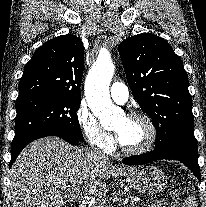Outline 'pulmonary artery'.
<instances>
[{
    "label": "pulmonary artery",
    "instance_id": "1",
    "mask_svg": "<svg viewBox=\"0 0 206 207\" xmlns=\"http://www.w3.org/2000/svg\"><path fill=\"white\" fill-rule=\"evenodd\" d=\"M110 95L113 101L123 104L128 100L129 91L123 83L115 82L111 85Z\"/></svg>",
    "mask_w": 206,
    "mask_h": 207
}]
</instances>
